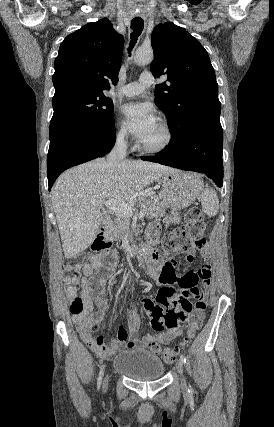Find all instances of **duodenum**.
Listing matches in <instances>:
<instances>
[{
	"mask_svg": "<svg viewBox=\"0 0 274 427\" xmlns=\"http://www.w3.org/2000/svg\"><path fill=\"white\" fill-rule=\"evenodd\" d=\"M108 224H109V219L107 218L94 241V246L96 248H102L107 245L106 228ZM128 253L131 255L142 254L145 257L148 264L155 262L159 257L158 249L154 247L151 243L142 247L132 245L128 248Z\"/></svg>",
	"mask_w": 274,
	"mask_h": 427,
	"instance_id": "duodenum-1",
	"label": "duodenum"
}]
</instances>
